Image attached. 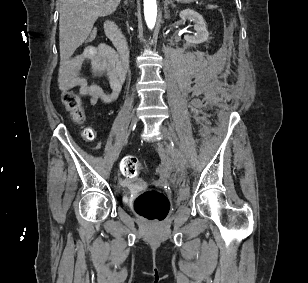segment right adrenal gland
<instances>
[{
	"label": "right adrenal gland",
	"instance_id": "1",
	"mask_svg": "<svg viewBox=\"0 0 308 283\" xmlns=\"http://www.w3.org/2000/svg\"><path fill=\"white\" fill-rule=\"evenodd\" d=\"M128 0H124V5L127 6Z\"/></svg>",
	"mask_w": 308,
	"mask_h": 283
}]
</instances>
